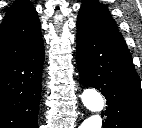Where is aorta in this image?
Wrapping results in <instances>:
<instances>
[{
    "instance_id": "1",
    "label": "aorta",
    "mask_w": 142,
    "mask_h": 128,
    "mask_svg": "<svg viewBox=\"0 0 142 128\" xmlns=\"http://www.w3.org/2000/svg\"><path fill=\"white\" fill-rule=\"evenodd\" d=\"M81 100L84 106L96 113L85 119L80 128H102V118L99 114L104 109V100L102 95L95 89H86L81 94Z\"/></svg>"
}]
</instances>
